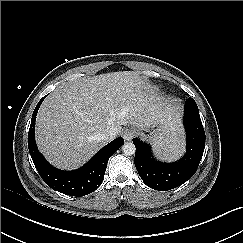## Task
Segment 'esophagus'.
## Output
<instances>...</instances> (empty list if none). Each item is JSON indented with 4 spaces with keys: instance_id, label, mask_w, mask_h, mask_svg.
I'll return each mask as SVG.
<instances>
[{
    "instance_id": "1",
    "label": "esophagus",
    "mask_w": 243,
    "mask_h": 243,
    "mask_svg": "<svg viewBox=\"0 0 243 243\" xmlns=\"http://www.w3.org/2000/svg\"><path fill=\"white\" fill-rule=\"evenodd\" d=\"M136 135V132L133 128H126L123 132V137L126 141H131Z\"/></svg>"
}]
</instances>
